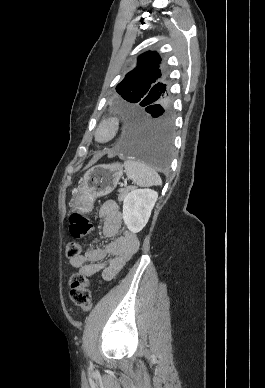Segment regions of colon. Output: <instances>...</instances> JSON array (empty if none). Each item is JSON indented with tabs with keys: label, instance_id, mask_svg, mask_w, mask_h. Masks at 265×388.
Masks as SVG:
<instances>
[{
	"label": "colon",
	"instance_id": "obj_1",
	"mask_svg": "<svg viewBox=\"0 0 265 388\" xmlns=\"http://www.w3.org/2000/svg\"><path fill=\"white\" fill-rule=\"evenodd\" d=\"M93 225L91 220L80 213H73L70 216V234L72 237L80 239L87 238L91 234ZM82 248L78 243H69L66 248L65 256L69 260L78 257ZM70 299L81 309L88 311L92 307V296L89 289L88 279L80 274H74L70 278Z\"/></svg>",
	"mask_w": 265,
	"mask_h": 388
}]
</instances>
